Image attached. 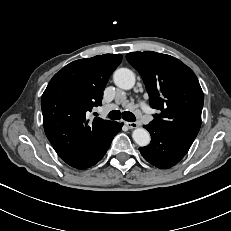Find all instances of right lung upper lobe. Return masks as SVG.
I'll use <instances>...</instances> for the list:
<instances>
[{"label":"right lung upper lobe","mask_w":231,"mask_h":231,"mask_svg":"<svg viewBox=\"0 0 231 231\" xmlns=\"http://www.w3.org/2000/svg\"><path fill=\"white\" fill-rule=\"evenodd\" d=\"M121 54H104L71 62L45 89L41 108L46 136L57 154L72 167L82 164L110 135L115 121L86 119L101 106L103 90Z\"/></svg>","instance_id":"cb5924a9"}]
</instances>
